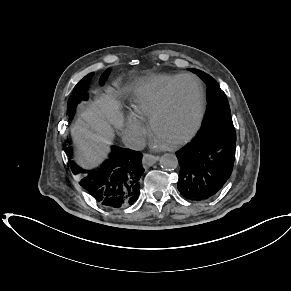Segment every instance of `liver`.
<instances>
[{"instance_id": "1", "label": "liver", "mask_w": 291, "mask_h": 291, "mask_svg": "<svg viewBox=\"0 0 291 291\" xmlns=\"http://www.w3.org/2000/svg\"><path fill=\"white\" fill-rule=\"evenodd\" d=\"M122 124L123 116L112 91L82 107L80 119L71 127L77 162L85 168L97 166L109 152L114 136L112 126L120 128Z\"/></svg>"}]
</instances>
